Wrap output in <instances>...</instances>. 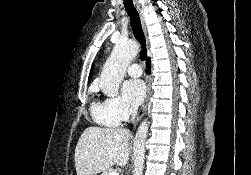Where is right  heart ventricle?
Segmentation results:
<instances>
[{
  "label": "right heart ventricle",
  "instance_id": "e07e8e85",
  "mask_svg": "<svg viewBox=\"0 0 251 175\" xmlns=\"http://www.w3.org/2000/svg\"><path fill=\"white\" fill-rule=\"evenodd\" d=\"M91 113L95 121L101 125L107 127H116L118 124L111 120V118L107 115L104 104L100 102H94L91 105Z\"/></svg>",
  "mask_w": 251,
  "mask_h": 175
}]
</instances>
